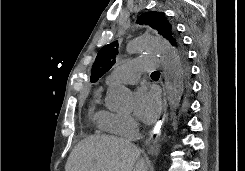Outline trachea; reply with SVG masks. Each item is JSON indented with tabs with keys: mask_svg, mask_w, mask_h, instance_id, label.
Returning <instances> with one entry per match:
<instances>
[{
	"mask_svg": "<svg viewBox=\"0 0 245 171\" xmlns=\"http://www.w3.org/2000/svg\"><path fill=\"white\" fill-rule=\"evenodd\" d=\"M160 73L158 72V71H156V72H153L152 74H151V76H157V75H159Z\"/></svg>",
	"mask_w": 245,
	"mask_h": 171,
	"instance_id": "1",
	"label": "trachea"
}]
</instances>
